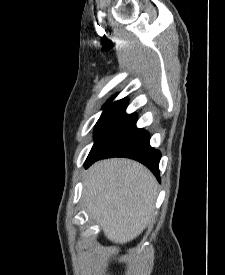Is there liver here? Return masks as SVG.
Instances as JSON below:
<instances>
[{
  "label": "liver",
  "instance_id": "liver-1",
  "mask_svg": "<svg viewBox=\"0 0 225 275\" xmlns=\"http://www.w3.org/2000/svg\"><path fill=\"white\" fill-rule=\"evenodd\" d=\"M83 183L86 210L110 241L127 243L150 222L158 183L142 164L125 158L101 160L87 170Z\"/></svg>",
  "mask_w": 225,
  "mask_h": 275
}]
</instances>
